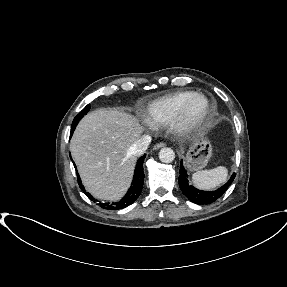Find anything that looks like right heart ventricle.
<instances>
[{
	"label": "right heart ventricle",
	"instance_id": "1",
	"mask_svg": "<svg viewBox=\"0 0 287 287\" xmlns=\"http://www.w3.org/2000/svg\"><path fill=\"white\" fill-rule=\"evenodd\" d=\"M194 94L193 91H178L151 101L144 109L145 119L154 126L171 122L182 105Z\"/></svg>",
	"mask_w": 287,
	"mask_h": 287
}]
</instances>
